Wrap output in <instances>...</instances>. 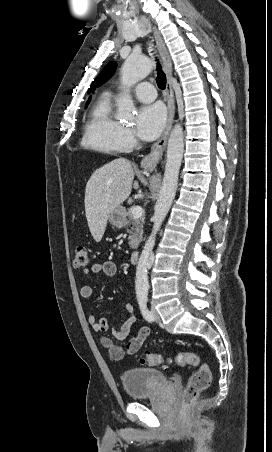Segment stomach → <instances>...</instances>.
Masks as SVG:
<instances>
[{
	"label": "stomach",
	"instance_id": "1",
	"mask_svg": "<svg viewBox=\"0 0 272 452\" xmlns=\"http://www.w3.org/2000/svg\"><path fill=\"white\" fill-rule=\"evenodd\" d=\"M126 219V211L122 206L116 207L109 215L108 220L114 227L121 228L124 226Z\"/></svg>",
	"mask_w": 272,
	"mask_h": 452
}]
</instances>
